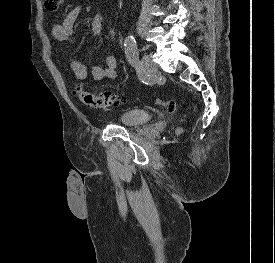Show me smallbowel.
<instances>
[{
  "instance_id": "small-bowel-1",
  "label": "small bowel",
  "mask_w": 275,
  "mask_h": 263,
  "mask_svg": "<svg viewBox=\"0 0 275 263\" xmlns=\"http://www.w3.org/2000/svg\"><path fill=\"white\" fill-rule=\"evenodd\" d=\"M83 10V5H78L69 11L62 21L53 27V36L56 40L71 43L74 40V24ZM104 17L97 14L90 21V30L92 35H99L103 29ZM68 66L74 76L79 80L88 77L87 67L80 61L74 59L71 55L66 57ZM91 77L96 81L104 79H114L117 76V60L113 56H107L103 59L102 65L93 66L90 69Z\"/></svg>"
}]
</instances>
